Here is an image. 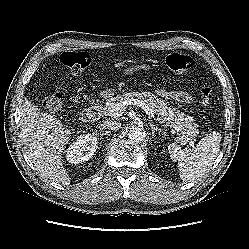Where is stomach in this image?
I'll list each match as a JSON object with an SVG mask.
<instances>
[{
    "label": "stomach",
    "instance_id": "0dacf381",
    "mask_svg": "<svg viewBox=\"0 0 249 249\" xmlns=\"http://www.w3.org/2000/svg\"><path fill=\"white\" fill-rule=\"evenodd\" d=\"M151 69V65L147 64L145 62H141L139 64H135V65H130L125 67V69L123 70V74L124 75H131L134 72H138L141 70H150ZM113 93V89H106L105 91H103V95L104 96H110Z\"/></svg>",
    "mask_w": 249,
    "mask_h": 249
}]
</instances>
